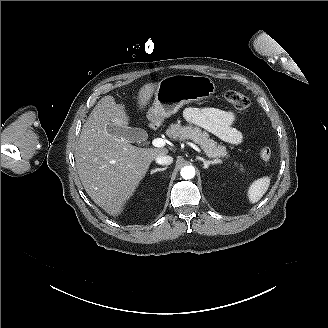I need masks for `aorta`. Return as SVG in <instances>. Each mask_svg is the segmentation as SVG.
Here are the masks:
<instances>
[{
  "label": "aorta",
  "mask_w": 328,
  "mask_h": 328,
  "mask_svg": "<svg viewBox=\"0 0 328 328\" xmlns=\"http://www.w3.org/2000/svg\"><path fill=\"white\" fill-rule=\"evenodd\" d=\"M180 173L183 179H192L195 176V168L193 166H184Z\"/></svg>",
  "instance_id": "aorta-1"
}]
</instances>
